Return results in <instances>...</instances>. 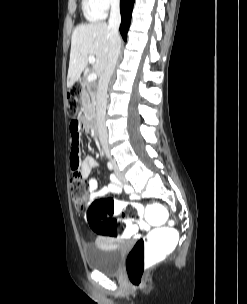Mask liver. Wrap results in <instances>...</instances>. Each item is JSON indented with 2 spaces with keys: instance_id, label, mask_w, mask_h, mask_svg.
<instances>
[{
  "instance_id": "liver-1",
  "label": "liver",
  "mask_w": 247,
  "mask_h": 304,
  "mask_svg": "<svg viewBox=\"0 0 247 304\" xmlns=\"http://www.w3.org/2000/svg\"><path fill=\"white\" fill-rule=\"evenodd\" d=\"M110 37L111 28L105 22L81 24L75 28L71 39L68 88L80 78L88 64L89 55L96 57L93 70L101 77L108 61Z\"/></svg>"
}]
</instances>
